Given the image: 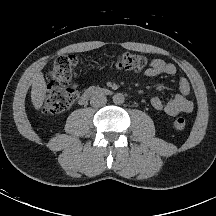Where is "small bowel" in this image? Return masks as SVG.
<instances>
[{"label":"small bowel","mask_w":216,"mask_h":216,"mask_svg":"<svg viewBox=\"0 0 216 216\" xmlns=\"http://www.w3.org/2000/svg\"><path fill=\"white\" fill-rule=\"evenodd\" d=\"M176 67L174 64L166 62L162 59H153L150 67L145 71L148 77H156L160 75L173 76L176 74ZM178 91L173 98L165 102L160 97H153L151 99V106L153 109L164 112L170 116H176L181 113H190L193 111L194 104L188 98L191 87L188 80L181 77L178 81Z\"/></svg>","instance_id":"obj_1"}]
</instances>
